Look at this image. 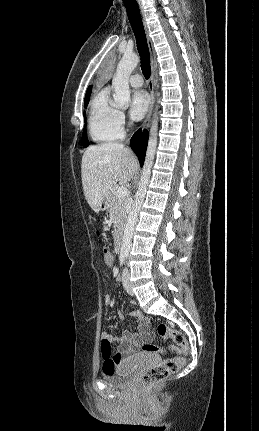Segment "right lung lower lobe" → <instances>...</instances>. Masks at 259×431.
<instances>
[{"label": "right lung lower lobe", "instance_id": "98d812e1", "mask_svg": "<svg viewBox=\"0 0 259 431\" xmlns=\"http://www.w3.org/2000/svg\"><path fill=\"white\" fill-rule=\"evenodd\" d=\"M148 143V132L146 130L142 131L139 129L134 133V135L131 138V148L137 155L140 165L143 166L144 159H145V153Z\"/></svg>", "mask_w": 259, "mask_h": 431}]
</instances>
